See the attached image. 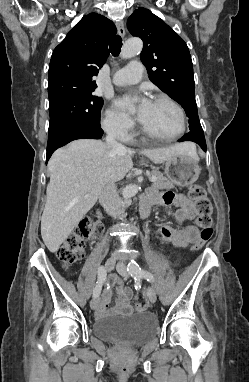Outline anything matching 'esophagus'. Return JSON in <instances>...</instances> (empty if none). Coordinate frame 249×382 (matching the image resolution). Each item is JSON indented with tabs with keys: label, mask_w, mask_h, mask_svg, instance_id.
<instances>
[{
	"label": "esophagus",
	"mask_w": 249,
	"mask_h": 382,
	"mask_svg": "<svg viewBox=\"0 0 249 382\" xmlns=\"http://www.w3.org/2000/svg\"><path fill=\"white\" fill-rule=\"evenodd\" d=\"M116 27H117V31H118L119 35L124 37L125 36V28H124L123 22L122 21H117L116 22Z\"/></svg>",
	"instance_id": "1"
}]
</instances>
